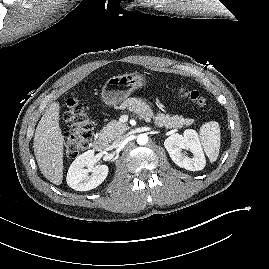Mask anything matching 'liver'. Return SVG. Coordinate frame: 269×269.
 <instances>
[{
	"mask_svg": "<svg viewBox=\"0 0 269 269\" xmlns=\"http://www.w3.org/2000/svg\"><path fill=\"white\" fill-rule=\"evenodd\" d=\"M59 102H53L39 121L34 135V154L42 174L53 184L63 180L64 136L59 126Z\"/></svg>",
	"mask_w": 269,
	"mask_h": 269,
	"instance_id": "1",
	"label": "liver"
}]
</instances>
